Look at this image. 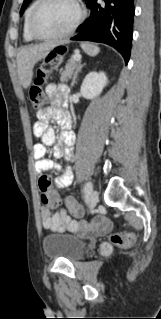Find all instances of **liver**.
I'll return each mask as SVG.
<instances>
[{
    "instance_id": "1",
    "label": "liver",
    "mask_w": 161,
    "mask_h": 319,
    "mask_svg": "<svg viewBox=\"0 0 161 319\" xmlns=\"http://www.w3.org/2000/svg\"><path fill=\"white\" fill-rule=\"evenodd\" d=\"M55 46L53 42H46L38 45L23 46L17 52L18 76L21 85L27 89L33 77L35 64L44 58Z\"/></svg>"
}]
</instances>
